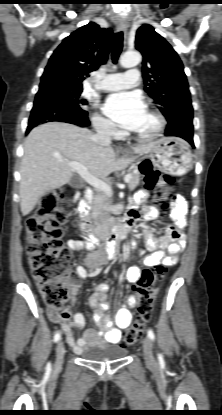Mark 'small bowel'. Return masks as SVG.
Segmentation results:
<instances>
[{
    "label": "small bowel",
    "instance_id": "c3829d8e",
    "mask_svg": "<svg viewBox=\"0 0 222 415\" xmlns=\"http://www.w3.org/2000/svg\"><path fill=\"white\" fill-rule=\"evenodd\" d=\"M149 190H140L138 192V200L142 201L150 196ZM173 204L171 213L172 219L179 228H185L187 204L184 199L177 194L170 197ZM144 218L152 220L158 216V210L152 206H146L143 210ZM127 216L133 220L137 219L138 213L134 209L129 210ZM145 251H138L139 255H146L144 263L147 266H174L178 262L179 254L183 251L186 245V237L183 233L170 230L168 234L157 235L152 229H145ZM67 246L72 251H81L85 245L76 239L67 241ZM76 272L79 278L87 276L85 267L78 265ZM141 275V270L138 266L130 267L126 272V279L133 286ZM79 281H76V286H79ZM109 290V285L100 283L96 286L95 291L89 296V306L93 310L91 318L93 322L99 327V330L90 328L84 331L83 335L76 340L74 338L73 330L82 329L85 326L86 320L83 314L73 312L71 308L59 311L53 308L47 309L49 319L59 324L64 331L68 344L72 347L75 353H81L83 350L90 347H99L109 344H118L121 342L122 331L125 330L131 323V308L137 304V296L130 295L127 297L125 303L118 310L115 318V326L112 321L104 315V311L108 308L106 293ZM71 307L76 304L75 296L71 298Z\"/></svg>",
    "mask_w": 222,
    "mask_h": 415
}]
</instances>
